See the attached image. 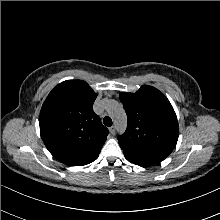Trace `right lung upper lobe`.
Here are the masks:
<instances>
[{"instance_id":"1","label":"right lung upper lobe","mask_w":220,"mask_h":220,"mask_svg":"<svg viewBox=\"0 0 220 220\" xmlns=\"http://www.w3.org/2000/svg\"><path fill=\"white\" fill-rule=\"evenodd\" d=\"M96 97L85 81L67 80L46 98L40 111V134L58 161L83 166L99 156L109 131L93 111Z\"/></svg>"}]
</instances>
